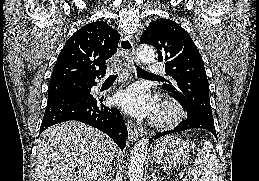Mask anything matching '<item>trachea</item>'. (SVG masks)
<instances>
[{
	"instance_id": "trachea-1",
	"label": "trachea",
	"mask_w": 259,
	"mask_h": 181,
	"mask_svg": "<svg viewBox=\"0 0 259 181\" xmlns=\"http://www.w3.org/2000/svg\"><path fill=\"white\" fill-rule=\"evenodd\" d=\"M136 67V72H137V75L138 76H153V77H161V76H158V75H154V74H151L145 70H143L142 68H140L139 66L135 65ZM117 77V74H110L108 76V78H116Z\"/></svg>"
}]
</instances>
